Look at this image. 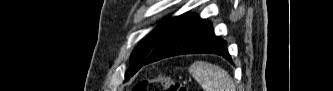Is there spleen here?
Returning <instances> with one entry per match:
<instances>
[{"label":"spleen","mask_w":333,"mask_h":91,"mask_svg":"<svg viewBox=\"0 0 333 91\" xmlns=\"http://www.w3.org/2000/svg\"><path fill=\"white\" fill-rule=\"evenodd\" d=\"M189 73L204 91H235L233 79L218 65L196 61L189 67Z\"/></svg>","instance_id":"spleen-1"}]
</instances>
